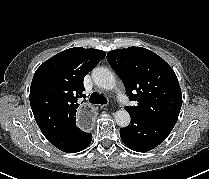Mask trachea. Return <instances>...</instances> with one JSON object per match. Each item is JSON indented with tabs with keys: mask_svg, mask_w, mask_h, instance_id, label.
<instances>
[{
	"mask_svg": "<svg viewBox=\"0 0 209 179\" xmlns=\"http://www.w3.org/2000/svg\"><path fill=\"white\" fill-rule=\"evenodd\" d=\"M89 102L92 104H107V99L97 92H93L89 98Z\"/></svg>",
	"mask_w": 209,
	"mask_h": 179,
	"instance_id": "obj_1",
	"label": "trachea"
}]
</instances>
